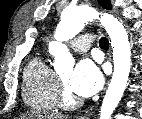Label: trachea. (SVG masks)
Returning a JSON list of instances; mask_svg holds the SVG:
<instances>
[{"label":"trachea","instance_id":"obj_1","mask_svg":"<svg viewBox=\"0 0 142 119\" xmlns=\"http://www.w3.org/2000/svg\"><path fill=\"white\" fill-rule=\"evenodd\" d=\"M99 45L101 48H108L109 47V41L106 37H102L100 40H99Z\"/></svg>","mask_w":142,"mask_h":119}]
</instances>
